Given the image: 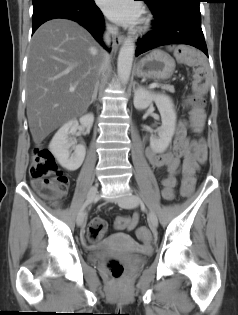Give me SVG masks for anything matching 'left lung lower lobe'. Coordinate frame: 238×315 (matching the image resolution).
<instances>
[{"label":"left lung lower lobe","instance_id":"left-lung-lower-lobe-1","mask_svg":"<svg viewBox=\"0 0 238 315\" xmlns=\"http://www.w3.org/2000/svg\"><path fill=\"white\" fill-rule=\"evenodd\" d=\"M200 2L201 0H160L156 4L146 2L155 18L152 20L153 30L138 40L135 55L158 46L188 44L208 56L201 28Z\"/></svg>","mask_w":238,"mask_h":315}]
</instances>
